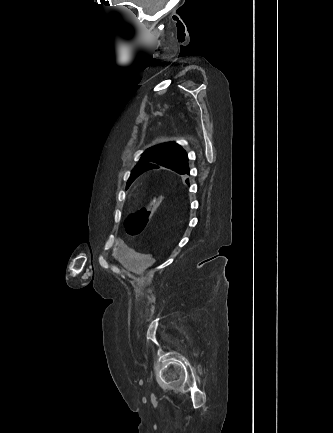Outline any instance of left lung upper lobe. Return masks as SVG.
Returning <instances> with one entry per match:
<instances>
[{"label": "left lung upper lobe", "instance_id": "5c2ea615", "mask_svg": "<svg viewBox=\"0 0 333 433\" xmlns=\"http://www.w3.org/2000/svg\"><path fill=\"white\" fill-rule=\"evenodd\" d=\"M148 165L155 168L163 166L174 170L179 174H186L189 171L188 157L186 152L176 143H164L147 149L141 157L139 163L131 172L128 180L130 185L135 178L142 174Z\"/></svg>", "mask_w": 333, "mask_h": 433}]
</instances>
